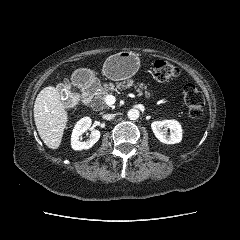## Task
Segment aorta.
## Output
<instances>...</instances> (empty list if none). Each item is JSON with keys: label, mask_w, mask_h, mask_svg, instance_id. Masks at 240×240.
Masks as SVG:
<instances>
[{"label": "aorta", "mask_w": 240, "mask_h": 240, "mask_svg": "<svg viewBox=\"0 0 240 240\" xmlns=\"http://www.w3.org/2000/svg\"><path fill=\"white\" fill-rule=\"evenodd\" d=\"M139 111L137 109H130L127 113V116L130 120H136L139 118Z\"/></svg>", "instance_id": "obj_1"}]
</instances>
